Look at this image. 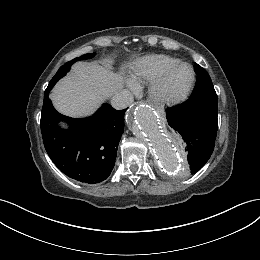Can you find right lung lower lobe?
I'll return each mask as SVG.
<instances>
[{
  "label": "right lung lower lobe",
  "instance_id": "1",
  "mask_svg": "<svg viewBox=\"0 0 260 260\" xmlns=\"http://www.w3.org/2000/svg\"><path fill=\"white\" fill-rule=\"evenodd\" d=\"M53 86L44 93L41 132L45 149L54 164L68 177L99 183L111 173L117 148L124 131L125 110H115L103 104L92 116L74 119L59 114L48 98ZM70 125L64 131L57 122Z\"/></svg>",
  "mask_w": 260,
  "mask_h": 260
}]
</instances>
